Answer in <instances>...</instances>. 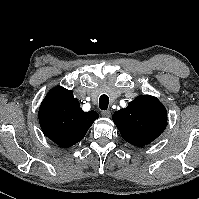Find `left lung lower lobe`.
<instances>
[{"instance_id": "left-lung-lower-lobe-1", "label": "left lung lower lobe", "mask_w": 199, "mask_h": 199, "mask_svg": "<svg viewBox=\"0 0 199 199\" xmlns=\"http://www.w3.org/2000/svg\"><path fill=\"white\" fill-rule=\"evenodd\" d=\"M128 143L134 145V146H137V147H142L144 146V144H141V143H137V142H131V141H127Z\"/></svg>"}]
</instances>
